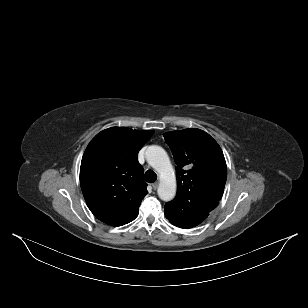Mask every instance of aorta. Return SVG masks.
I'll return each mask as SVG.
<instances>
[{"instance_id": "aorta-1", "label": "aorta", "mask_w": 308, "mask_h": 308, "mask_svg": "<svg viewBox=\"0 0 308 308\" xmlns=\"http://www.w3.org/2000/svg\"><path fill=\"white\" fill-rule=\"evenodd\" d=\"M147 162L160 174L158 196L163 201H171L176 194V178L166 151L157 145L146 150Z\"/></svg>"}]
</instances>
